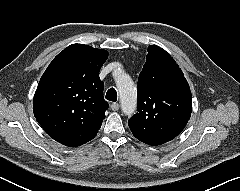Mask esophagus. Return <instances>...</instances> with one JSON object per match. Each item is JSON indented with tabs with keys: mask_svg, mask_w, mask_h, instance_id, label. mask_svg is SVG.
Wrapping results in <instances>:
<instances>
[{
	"mask_svg": "<svg viewBox=\"0 0 240 191\" xmlns=\"http://www.w3.org/2000/svg\"><path fill=\"white\" fill-rule=\"evenodd\" d=\"M111 109L113 110V111H118L119 110V108H120V105L118 104V103H112L111 104Z\"/></svg>",
	"mask_w": 240,
	"mask_h": 191,
	"instance_id": "1",
	"label": "esophagus"
}]
</instances>
